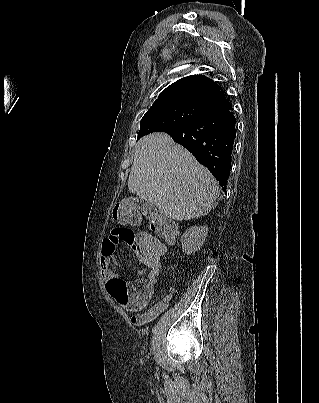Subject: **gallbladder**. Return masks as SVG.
Listing matches in <instances>:
<instances>
[{
    "instance_id": "1",
    "label": "gallbladder",
    "mask_w": 319,
    "mask_h": 403,
    "mask_svg": "<svg viewBox=\"0 0 319 403\" xmlns=\"http://www.w3.org/2000/svg\"><path fill=\"white\" fill-rule=\"evenodd\" d=\"M146 206H147V207H153V206H152V205H150V204H146Z\"/></svg>"
}]
</instances>
